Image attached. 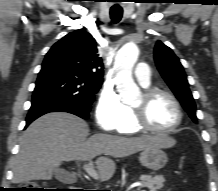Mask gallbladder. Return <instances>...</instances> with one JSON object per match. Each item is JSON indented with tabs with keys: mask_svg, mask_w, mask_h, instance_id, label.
I'll use <instances>...</instances> for the list:
<instances>
[{
	"mask_svg": "<svg viewBox=\"0 0 218 191\" xmlns=\"http://www.w3.org/2000/svg\"><path fill=\"white\" fill-rule=\"evenodd\" d=\"M66 173L65 171L63 170H56L55 171V177L58 179V180H62L63 179V174Z\"/></svg>",
	"mask_w": 218,
	"mask_h": 191,
	"instance_id": "bac80fb5",
	"label": "gallbladder"
}]
</instances>
